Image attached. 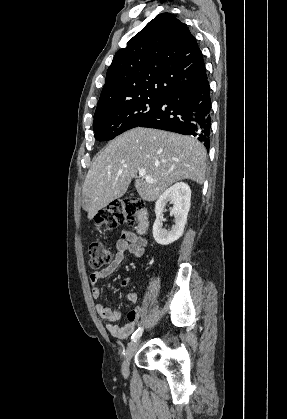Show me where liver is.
Instances as JSON below:
<instances>
[{"mask_svg": "<svg viewBox=\"0 0 287 419\" xmlns=\"http://www.w3.org/2000/svg\"><path fill=\"white\" fill-rule=\"evenodd\" d=\"M154 181L138 177L139 170ZM206 150L195 138L151 128H133L112 140L94 159L82 189V207L91 220L99 210L122 197L131 180L146 201H155L177 181L203 184Z\"/></svg>", "mask_w": 287, "mask_h": 419, "instance_id": "1", "label": "liver"}]
</instances>
